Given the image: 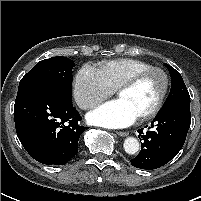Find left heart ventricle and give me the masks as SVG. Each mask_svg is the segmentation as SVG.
<instances>
[{"mask_svg": "<svg viewBox=\"0 0 201 201\" xmlns=\"http://www.w3.org/2000/svg\"><path fill=\"white\" fill-rule=\"evenodd\" d=\"M163 85L162 76L151 73L139 81L136 85L119 94L123 100L137 115V117L149 111L156 103Z\"/></svg>", "mask_w": 201, "mask_h": 201, "instance_id": "obj_1", "label": "left heart ventricle"}]
</instances>
